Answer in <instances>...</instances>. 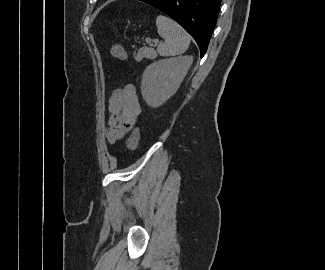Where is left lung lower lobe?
<instances>
[{"label": "left lung lower lobe", "instance_id": "0a47b994", "mask_svg": "<svg viewBox=\"0 0 325 270\" xmlns=\"http://www.w3.org/2000/svg\"><path fill=\"white\" fill-rule=\"evenodd\" d=\"M178 22L205 55L219 13L221 0H141Z\"/></svg>", "mask_w": 325, "mask_h": 270}]
</instances>
